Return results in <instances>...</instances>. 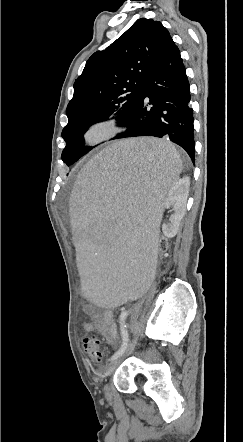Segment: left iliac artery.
<instances>
[{
	"label": "left iliac artery",
	"instance_id": "obj_1",
	"mask_svg": "<svg viewBox=\"0 0 243 442\" xmlns=\"http://www.w3.org/2000/svg\"><path fill=\"white\" fill-rule=\"evenodd\" d=\"M128 314H129V311L126 310V311L122 312L120 315V330H121L123 342H122L121 347L111 356L110 360H114L115 358L121 356L125 352V350L128 346L129 337H128V332L126 329V318H127Z\"/></svg>",
	"mask_w": 243,
	"mask_h": 442
}]
</instances>
